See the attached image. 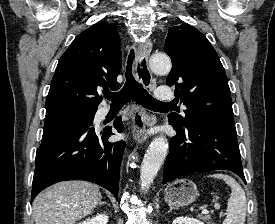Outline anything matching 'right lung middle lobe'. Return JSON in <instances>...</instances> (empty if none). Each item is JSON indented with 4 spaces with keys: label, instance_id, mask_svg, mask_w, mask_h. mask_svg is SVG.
I'll return each instance as SVG.
<instances>
[{
    "label": "right lung middle lobe",
    "instance_id": "dd1d6c3e",
    "mask_svg": "<svg viewBox=\"0 0 275 224\" xmlns=\"http://www.w3.org/2000/svg\"><path fill=\"white\" fill-rule=\"evenodd\" d=\"M97 109L62 108L46 113L45 123L59 120H76L84 123H92Z\"/></svg>",
    "mask_w": 275,
    "mask_h": 224
}]
</instances>
